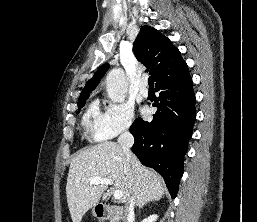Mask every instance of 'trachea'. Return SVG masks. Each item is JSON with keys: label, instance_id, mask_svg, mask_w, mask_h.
Returning a JSON list of instances; mask_svg holds the SVG:
<instances>
[{"label": "trachea", "instance_id": "1", "mask_svg": "<svg viewBox=\"0 0 257 222\" xmlns=\"http://www.w3.org/2000/svg\"><path fill=\"white\" fill-rule=\"evenodd\" d=\"M148 84H149L150 88H154V78H153V76L149 77Z\"/></svg>", "mask_w": 257, "mask_h": 222}]
</instances>
